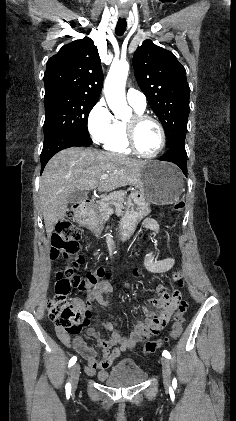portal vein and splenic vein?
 I'll list each match as a JSON object with an SVG mask.
<instances>
[{"mask_svg": "<svg viewBox=\"0 0 236 421\" xmlns=\"http://www.w3.org/2000/svg\"><path fill=\"white\" fill-rule=\"evenodd\" d=\"M109 174H102V176H100V180H104V178H108Z\"/></svg>", "mask_w": 236, "mask_h": 421, "instance_id": "obj_1", "label": "portal vein and splenic vein"}]
</instances>
